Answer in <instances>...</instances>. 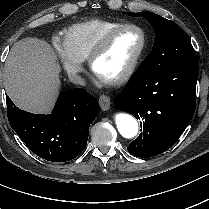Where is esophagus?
Instances as JSON below:
<instances>
[{"label":"esophagus","mask_w":209,"mask_h":209,"mask_svg":"<svg viewBox=\"0 0 209 209\" xmlns=\"http://www.w3.org/2000/svg\"><path fill=\"white\" fill-rule=\"evenodd\" d=\"M99 104L103 111H107L110 108V97L107 95H101L99 97Z\"/></svg>","instance_id":"1"}]
</instances>
